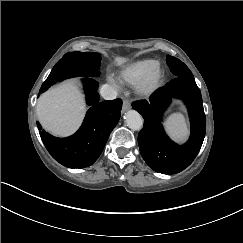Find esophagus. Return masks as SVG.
Listing matches in <instances>:
<instances>
[{
	"instance_id": "34e87169",
	"label": "esophagus",
	"mask_w": 243,
	"mask_h": 243,
	"mask_svg": "<svg viewBox=\"0 0 243 243\" xmlns=\"http://www.w3.org/2000/svg\"><path fill=\"white\" fill-rule=\"evenodd\" d=\"M131 108V104H130V102L127 100V99H124L123 100V108H122V110L123 111H126V110H128V109H130Z\"/></svg>"
}]
</instances>
